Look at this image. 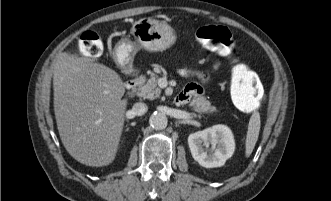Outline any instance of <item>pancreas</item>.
I'll use <instances>...</instances> for the list:
<instances>
[{
	"instance_id": "obj_1",
	"label": "pancreas",
	"mask_w": 331,
	"mask_h": 201,
	"mask_svg": "<svg viewBox=\"0 0 331 201\" xmlns=\"http://www.w3.org/2000/svg\"><path fill=\"white\" fill-rule=\"evenodd\" d=\"M138 81L137 95L150 100L156 99L160 96L161 89L157 86V76L151 73L150 78L146 81L145 77H140ZM194 111L199 114L216 112V108L211 106L210 102L204 97L194 99L191 104Z\"/></svg>"
}]
</instances>
